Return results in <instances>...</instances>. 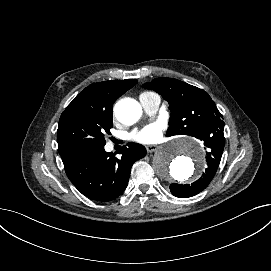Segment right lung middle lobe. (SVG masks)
<instances>
[{
  "label": "right lung middle lobe",
  "mask_w": 271,
  "mask_h": 271,
  "mask_svg": "<svg viewBox=\"0 0 271 271\" xmlns=\"http://www.w3.org/2000/svg\"><path fill=\"white\" fill-rule=\"evenodd\" d=\"M113 127L112 106L85 99L70 103L62 113L57 130L60 156L105 146L104 134Z\"/></svg>",
  "instance_id": "right-lung-middle-lobe-1"
}]
</instances>
